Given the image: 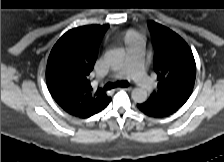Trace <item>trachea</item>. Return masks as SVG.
I'll return each instance as SVG.
<instances>
[{"label":"trachea","mask_w":224,"mask_h":162,"mask_svg":"<svg viewBox=\"0 0 224 162\" xmlns=\"http://www.w3.org/2000/svg\"><path fill=\"white\" fill-rule=\"evenodd\" d=\"M128 85H129V83L127 81H119V82H116V83L109 82L105 85V88L107 90H110V89H113L115 87H127Z\"/></svg>","instance_id":"3493384b"}]
</instances>
